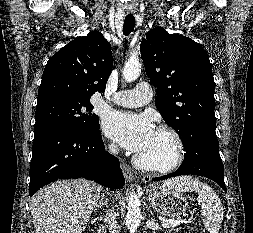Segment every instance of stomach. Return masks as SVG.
<instances>
[{
  "mask_svg": "<svg viewBox=\"0 0 253 233\" xmlns=\"http://www.w3.org/2000/svg\"><path fill=\"white\" fill-rule=\"evenodd\" d=\"M147 191L151 206L163 216L178 218L188 208L186 198L178 190L151 185Z\"/></svg>",
  "mask_w": 253,
  "mask_h": 233,
  "instance_id": "0dacf381",
  "label": "stomach"
}]
</instances>
